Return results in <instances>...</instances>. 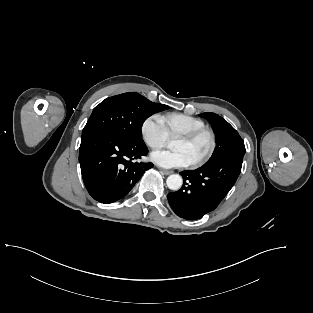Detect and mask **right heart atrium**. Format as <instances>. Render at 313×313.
<instances>
[{
	"mask_svg": "<svg viewBox=\"0 0 313 313\" xmlns=\"http://www.w3.org/2000/svg\"><path fill=\"white\" fill-rule=\"evenodd\" d=\"M141 136L151 149L163 147L168 141L169 134L159 115L147 117L141 125Z\"/></svg>",
	"mask_w": 313,
	"mask_h": 313,
	"instance_id": "1",
	"label": "right heart atrium"
}]
</instances>
